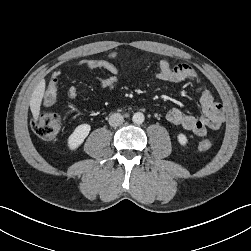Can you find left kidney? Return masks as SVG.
Segmentation results:
<instances>
[{"label": "left kidney", "mask_w": 251, "mask_h": 251, "mask_svg": "<svg viewBox=\"0 0 251 251\" xmlns=\"http://www.w3.org/2000/svg\"><path fill=\"white\" fill-rule=\"evenodd\" d=\"M177 139L182 146H186L188 143V139L183 133L178 134Z\"/></svg>", "instance_id": "left-kidney-1"}]
</instances>
